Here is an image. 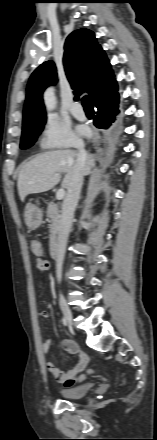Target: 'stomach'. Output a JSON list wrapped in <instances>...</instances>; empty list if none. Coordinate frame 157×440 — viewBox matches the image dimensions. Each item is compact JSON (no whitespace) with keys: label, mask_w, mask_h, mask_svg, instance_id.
<instances>
[{"label":"stomach","mask_w":157,"mask_h":440,"mask_svg":"<svg viewBox=\"0 0 157 440\" xmlns=\"http://www.w3.org/2000/svg\"><path fill=\"white\" fill-rule=\"evenodd\" d=\"M43 212L40 207L31 202L27 203L24 211V220L29 229H36L42 223Z\"/></svg>","instance_id":"1"}]
</instances>
